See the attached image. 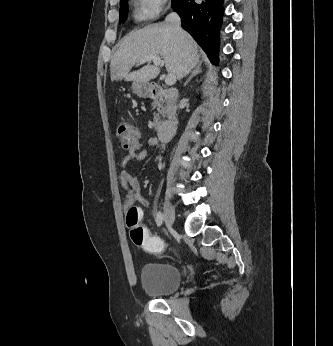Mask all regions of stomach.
Here are the masks:
<instances>
[{
    "label": "stomach",
    "mask_w": 333,
    "mask_h": 346,
    "mask_svg": "<svg viewBox=\"0 0 333 346\" xmlns=\"http://www.w3.org/2000/svg\"><path fill=\"white\" fill-rule=\"evenodd\" d=\"M132 90L140 98H147L151 95V85L149 83L133 82Z\"/></svg>",
    "instance_id": "1"
}]
</instances>
